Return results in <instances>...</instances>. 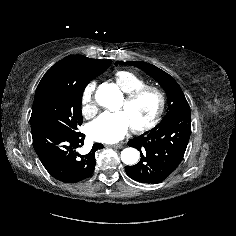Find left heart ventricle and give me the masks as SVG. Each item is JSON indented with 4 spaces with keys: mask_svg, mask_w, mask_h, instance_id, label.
<instances>
[{
    "mask_svg": "<svg viewBox=\"0 0 236 236\" xmlns=\"http://www.w3.org/2000/svg\"><path fill=\"white\" fill-rule=\"evenodd\" d=\"M157 106V97L153 93H147L130 104H126L123 100L118 110L126 113L132 126H138L148 122L154 116Z\"/></svg>",
    "mask_w": 236,
    "mask_h": 236,
    "instance_id": "obj_1",
    "label": "left heart ventricle"
}]
</instances>
